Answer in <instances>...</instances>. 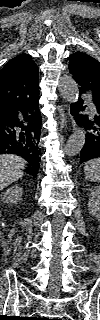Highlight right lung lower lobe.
<instances>
[{
  "instance_id": "right-lung-lower-lobe-1",
  "label": "right lung lower lobe",
  "mask_w": 100,
  "mask_h": 320,
  "mask_svg": "<svg viewBox=\"0 0 100 320\" xmlns=\"http://www.w3.org/2000/svg\"><path fill=\"white\" fill-rule=\"evenodd\" d=\"M39 91L12 107L0 110V154L23 157L29 165L25 172L36 176L40 166L41 113Z\"/></svg>"
}]
</instances>
